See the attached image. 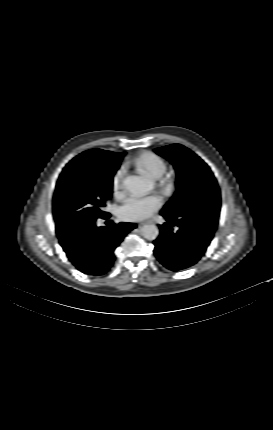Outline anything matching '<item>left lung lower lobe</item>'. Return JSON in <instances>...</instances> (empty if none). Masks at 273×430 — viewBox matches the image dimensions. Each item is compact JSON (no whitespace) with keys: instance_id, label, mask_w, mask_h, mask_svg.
<instances>
[{"instance_id":"1","label":"left lung lower lobe","mask_w":273,"mask_h":430,"mask_svg":"<svg viewBox=\"0 0 273 430\" xmlns=\"http://www.w3.org/2000/svg\"><path fill=\"white\" fill-rule=\"evenodd\" d=\"M192 211V220L177 219L175 215L161 211L167 223L160 225V235L153 242L156 258L166 268L178 271L199 261L213 238L217 227L220 206L206 199ZM177 230L174 231L173 227Z\"/></svg>"}]
</instances>
